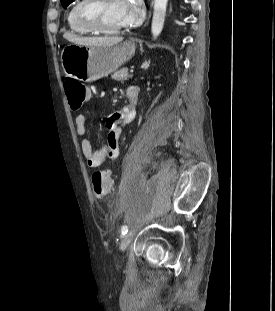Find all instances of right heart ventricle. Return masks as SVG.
Masks as SVG:
<instances>
[{"mask_svg": "<svg viewBox=\"0 0 275 311\" xmlns=\"http://www.w3.org/2000/svg\"><path fill=\"white\" fill-rule=\"evenodd\" d=\"M81 3H82V0H75V2L73 3L72 7L70 8V10L68 12L67 23H68V27L71 31H73L77 34L86 35V34L92 33V31H90L89 29H87L86 27L81 25L79 22H77V20L74 17L75 8Z\"/></svg>", "mask_w": 275, "mask_h": 311, "instance_id": "obj_1", "label": "right heart ventricle"}]
</instances>
